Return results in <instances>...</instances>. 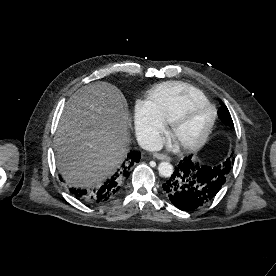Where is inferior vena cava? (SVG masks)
I'll return each mask as SVG.
<instances>
[{"mask_svg": "<svg viewBox=\"0 0 276 276\" xmlns=\"http://www.w3.org/2000/svg\"><path fill=\"white\" fill-rule=\"evenodd\" d=\"M141 148L147 151H160L163 147V140L159 134H142L137 138Z\"/></svg>", "mask_w": 276, "mask_h": 276, "instance_id": "1", "label": "inferior vena cava"}]
</instances>
